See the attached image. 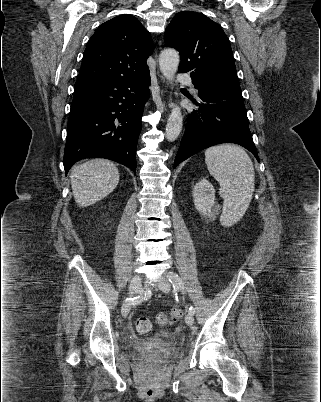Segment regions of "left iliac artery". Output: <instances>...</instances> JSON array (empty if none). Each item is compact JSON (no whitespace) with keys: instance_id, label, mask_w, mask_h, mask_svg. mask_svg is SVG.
<instances>
[{"instance_id":"1","label":"left iliac artery","mask_w":321,"mask_h":402,"mask_svg":"<svg viewBox=\"0 0 321 402\" xmlns=\"http://www.w3.org/2000/svg\"><path fill=\"white\" fill-rule=\"evenodd\" d=\"M167 277L174 289L185 292L184 284H183L181 278L178 276V274L170 272V274ZM194 313H195V309L193 308V306H190L189 314L194 315Z\"/></svg>"}]
</instances>
